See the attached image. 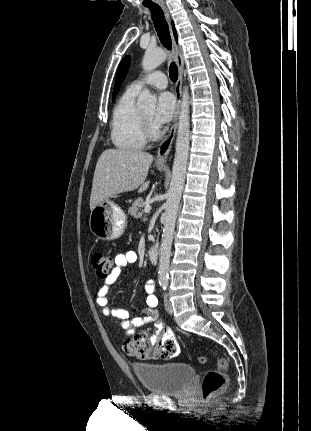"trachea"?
<instances>
[{"instance_id":"3493384b","label":"trachea","mask_w":311,"mask_h":431,"mask_svg":"<svg viewBox=\"0 0 311 431\" xmlns=\"http://www.w3.org/2000/svg\"><path fill=\"white\" fill-rule=\"evenodd\" d=\"M148 8L151 12L152 20L161 43L166 49L170 50L172 46L171 37L163 11L159 6ZM169 77L172 82H176L178 79V68L175 63H171L169 67Z\"/></svg>"}]
</instances>
